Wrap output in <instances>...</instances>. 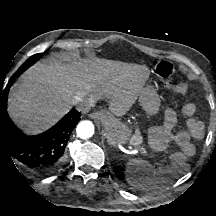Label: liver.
I'll use <instances>...</instances> for the list:
<instances>
[{"instance_id": "obj_1", "label": "liver", "mask_w": 216, "mask_h": 216, "mask_svg": "<svg viewBox=\"0 0 216 216\" xmlns=\"http://www.w3.org/2000/svg\"><path fill=\"white\" fill-rule=\"evenodd\" d=\"M147 70L113 61L55 58L33 66L9 97L11 118L29 134L40 133L65 115L77 96L111 97V110L129 109L139 96Z\"/></svg>"}]
</instances>
